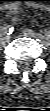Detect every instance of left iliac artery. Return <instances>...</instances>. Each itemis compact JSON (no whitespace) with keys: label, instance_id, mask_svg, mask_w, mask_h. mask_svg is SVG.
Listing matches in <instances>:
<instances>
[{"label":"left iliac artery","instance_id":"44dca946","mask_svg":"<svg viewBox=\"0 0 50 111\" xmlns=\"http://www.w3.org/2000/svg\"><path fill=\"white\" fill-rule=\"evenodd\" d=\"M38 36L40 40H44V36H42L41 34H38Z\"/></svg>","mask_w":50,"mask_h":111}]
</instances>
